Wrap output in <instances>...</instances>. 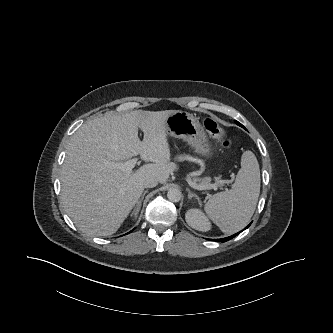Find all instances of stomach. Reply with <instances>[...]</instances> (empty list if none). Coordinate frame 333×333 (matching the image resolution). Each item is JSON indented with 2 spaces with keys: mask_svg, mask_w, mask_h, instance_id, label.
<instances>
[{
  "mask_svg": "<svg viewBox=\"0 0 333 333\" xmlns=\"http://www.w3.org/2000/svg\"><path fill=\"white\" fill-rule=\"evenodd\" d=\"M167 133L186 141L196 153L210 158L212 148L207 134L198 118L185 111H176L166 120Z\"/></svg>",
  "mask_w": 333,
  "mask_h": 333,
  "instance_id": "obj_1",
  "label": "stomach"
}]
</instances>
